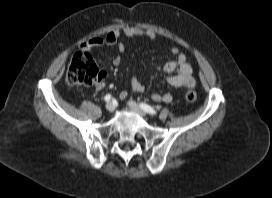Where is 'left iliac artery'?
Instances as JSON below:
<instances>
[{
  "label": "left iliac artery",
  "mask_w": 272,
  "mask_h": 198,
  "mask_svg": "<svg viewBox=\"0 0 272 198\" xmlns=\"http://www.w3.org/2000/svg\"><path fill=\"white\" fill-rule=\"evenodd\" d=\"M140 107L147 113L151 114V115H155L157 114V111L151 107L150 105L146 104V103H140Z\"/></svg>",
  "instance_id": "44dca946"
}]
</instances>
